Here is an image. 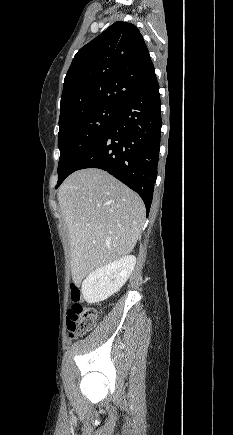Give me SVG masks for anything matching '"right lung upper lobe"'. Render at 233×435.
I'll return each mask as SVG.
<instances>
[{
	"instance_id": "1",
	"label": "right lung upper lobe",
	"mask_w": 233,
	"mask_h": 435,
	"mask_svg": "<svg viewBox=\"0 0 233 435\" xmlns=\"http://www.w3.org/2000/svg\"><path fill=\"white\" fill-rule=\"evenodd\" d=\"M138 28L118 21L82 47L64 79L59 123L100 106L122 107L155 71Z\"/></svg>"
}]
</instances>
